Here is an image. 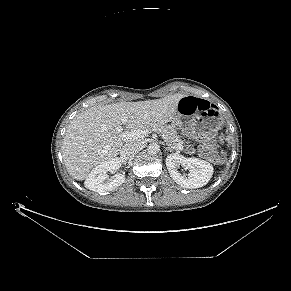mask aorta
Here are the masks:
<instances>
[{
  "label": "aorta",
  "instance_id": "aorta-1",
  "mask_svg": "<svg viewBox=\"0 0 291 291\" xmlns=\"http://www.w3.org/2000/svg\"><path fill=\"white\" fill-rule=\"evenodd\" d=\"M147 150L150 154H157L160 151V146L157 143H150Z\"/></svg>",
  "mask_w": 291,
  "mask_h": 291
}]
</instances>
